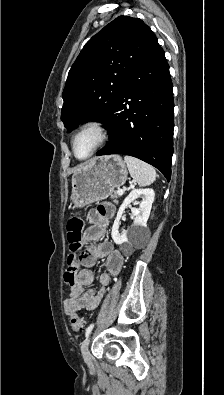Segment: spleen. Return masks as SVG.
Wrapping results in <instances>:
<instances>
[{"instance_id": "obj_1", "label": "spleen", "mask_w": 224, "mask_h": 395, "mask_svg": "<svg viewBox=\"0 0 224 395\" xmlns=\"http://www.w3.org/2000/svg\"><path fill=\"white\" fill-rule=\"evenodd\" d=\"M124 160L130 175L139 186H148L155 181L156 171L151 165L131 156H125Z\"/></svg>"}]
</instances>
